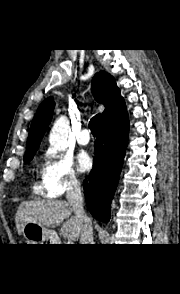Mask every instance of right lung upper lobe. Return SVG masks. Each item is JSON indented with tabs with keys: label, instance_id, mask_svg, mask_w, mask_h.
Masks as SVG:
<instances>
[{
	"label": "right lung upper lobe",
	"instance_id": "right-lung-upper-lobe-1",
	"mask_svg": "<svg viewBox=\"0 0 180 294\" xmlns=\"http://www.w3.org/2000/svg\"><path fill=\"white\" fill-rule=\"evenodd\" d=\"M92 93L97 102L105 105L102 117L124 101L115 79L105 71L96 73L92 80ZM54 101L51 97L45 99L39 106L27 139L24 159L33 157L38 149L41 139L52 119Z\"/></svg>",
	"mask_w": 180,
	"mask_h": 294
}]
</instances>
